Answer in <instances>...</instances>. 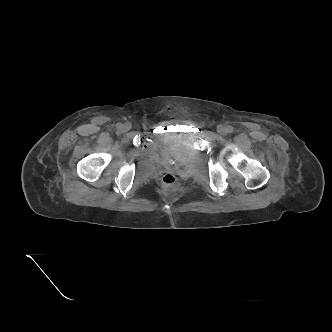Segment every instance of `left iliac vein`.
Instances as JSON below:
<instances>
[{
	"label": "left iliac vein",
	"mask_w": 332,
	"mask_h": 332,
	"mask_svg": "<svg viewBox=\"0 0 332 332\" xmlns=\"http://www.w3.org/2000/svg\"><path fill=\"white\" fill-rule=\"evenodd\" d=\"M217 131H218V133L221 134V135H225V134L227 133V129H226V127L223 126V125H219V126L217 127Z\"/></svg>",
	"instance_id": "4c4485c4"
}]
</instances>
